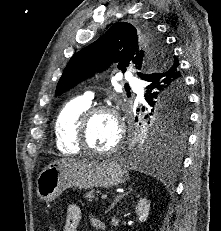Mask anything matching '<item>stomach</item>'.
<instances>
[{
    "label": "stomach",
    "instance_id": "stomach-1",
    "mask_svg": "<svg viewBox=\"0 0 221 231\" xmlns=\"http://www.w3.org/2000/svg\"><path fill=\"white\" fill-rule=\"evenodd\" d=\"M127 179V171L112 159L61 162L47 166L39 174L36 193L41 201L50 202L70 187L112 188Z\"/></svg>",
    "mask_w": 221,
    "mask_h": 231
}]
</instances>
